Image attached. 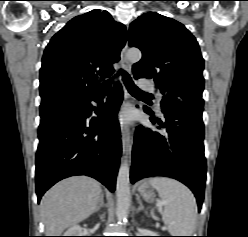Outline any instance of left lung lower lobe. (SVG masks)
<instances>
[{"label": "left lung lower lobe", "mask_w": 248, "mask_h": 237, "mask_svg": "<svg viewBox=\"0 0 248 237\" xmlns=\"http://www.w3.org/2000/svg\"><path fill=\"white\" fill-rule=\"evenodd\" d=\"M144 111L153 115L146 106ZM202 112L200 105L179 103L163 111V122L150 118L163 134L139 126L132 151L131 182L150 176L177 179L193 191L200 210L206 180Z\"/></svg>", "instance_id": "0a47b994"}]
</instances>
